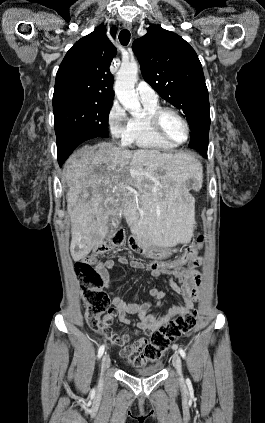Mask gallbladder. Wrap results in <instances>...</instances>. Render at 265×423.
<instances>
[{
  "label": "gallbladder",
  "mask_w": 265,
  "mask_h": 423,
  "mask_svg": "<svg viewBox=\"0 0 265 423\" xmlns=\"http://www.w3.org/2000/svg\"><path fill=\"white\" fill-rule=\"evenodd\" d=\"M118 225H119V218L116 217V218L113 219L111 226H112V228H117Z\"/></svg>",
  "instance_id": "obj_1"
}]
</instances>
